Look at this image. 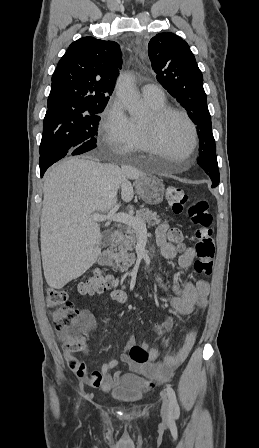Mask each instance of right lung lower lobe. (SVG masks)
Wrapping results in <instances>:
<instances>
[{"label": "right lung lower lobe", "instance_id": "obj_1", "mask_svg": "<svg viewBox=\"0 0 259 448\" xmlns=\"http://www.w3.org/2000/svg\"><path fill=\"white\" fill-rule=\"evenodd\" d=\"M67 154H70L69 151L64 152H56V153H46L40 155V174L41 177L44 175L45 171L48 167H50L53 163L57 162Z\"/></svg>", "mask_w": 259, "mask_h": 448}]
</instances>
